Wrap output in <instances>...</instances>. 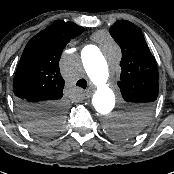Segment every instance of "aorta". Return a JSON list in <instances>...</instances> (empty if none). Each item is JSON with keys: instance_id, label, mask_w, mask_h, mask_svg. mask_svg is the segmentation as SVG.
<instances>
[{"instance_id": "obj_1", "label": "aorta", "mask_w": 174, "mask_h": 174, "mask_svg": "<svg viewBox=\"0 0 174 174\" xmlns=\"http://www.w3.org/2000/svg\"><path fill=\"white\" fill-rule=\"evenodd\" d=\"M82 58L85 71L95 86L92 99L93 106L99 115L101 124L107 131H111L110 128L120 123L123 115L111 113L115 96L108 83L107 61L113 64L117 63L121 58L120 48L113 40L106 37L105 56L98 50L87 46L82 51Z\"/></svg>"}]
</instances>
